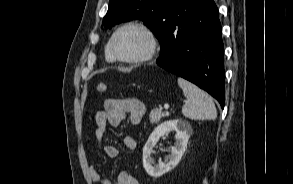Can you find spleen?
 <instances>
[{
  "label": "spleen",
  "instance_id": "spleen-1",
  "mask_svg": "<svg viewBox=\"0 0 293 184\" xmlns=\"http://www.w3.org/2000/svg\"><path fill=\"white\" fill-rule=\"evenodd\" d=\"M178 85L186 97L182 107V113L185 117L194 120L216 119L215 104L205 91L183 78H178Z\"/></svg>",
  "mask_w": 293,
  "mask_h": 184
}]
</instances>
